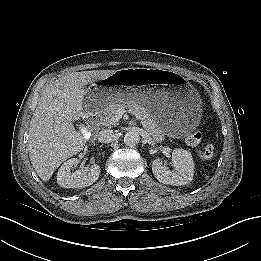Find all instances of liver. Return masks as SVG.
Returning a JSON list of instances; mask_svg holds the SVG:
<instances>
[{
  "label": "liver",
  "mask_w": 261,
  "mask_h": 261,
  "mask_svg": "<svg viewBox=\"0 0 261 261\" xmlns=\"http://www.w3.org/2000/svg\"><path fill=\"white\" fill-rule=\"evenodd\" d=\"M115 70L73 72L51 82L42 92L29 127L30 161L44 181L62 162L83 150L86 136L73 122L85 112L84 86L113 75Z\"/></svg>",
  "instance_id": "1"
}]
</instances>
